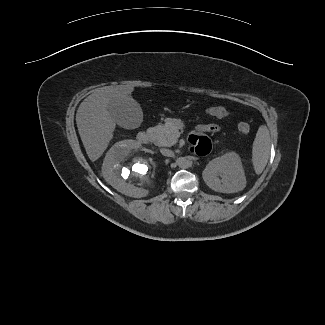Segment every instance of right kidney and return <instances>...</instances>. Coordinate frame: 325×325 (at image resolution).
Wrapping results in <instances>:
<instances>
[{"label": "right kidney", "instance_id": "ca27d5eb", "mask_svg": "<svg viewBox=\"0 0 325 325\" xmlns=\"http://www.w3.org/2000/svg\"><path fill=\"white\" fill-rule=\"evenodd\" d=\"M140 144L123 140L108 151L103 166L104 179L117 191L130 197L141 198L155 184L156 175L147 158L134 155ZM129 160L127 164L125 161Z\"/></svg>", "mask_w": 325, "mask_h": 325}]
</instances>
